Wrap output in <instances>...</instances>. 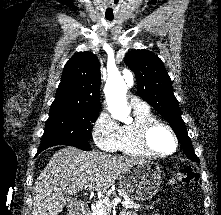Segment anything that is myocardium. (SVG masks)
<instances>
[{"label":"myocardium","instance_id":"myocardium-1","mask_svg":"<svg viewBox=\"0 0 221 215\" xmlns=\"http://www.w3.org/2000/svg\"><path fill=\"white\" fill-rule=\"evenodd\" d=\"M158 127H163L167 129L170 135L172 136V139L174 142V147L172 150L168 152H158L151 147L150 142H149L150 135L153 132V130H155ZM136 144L138 148L147 155L154 156V157H166L176 152L179 141H178L175 131L169 124L161 120L155 119V120H151V121L144 123L138 129V132L136 135Z\"/></svg>","mask_w":221,"mask_h":215}]
</instances>
